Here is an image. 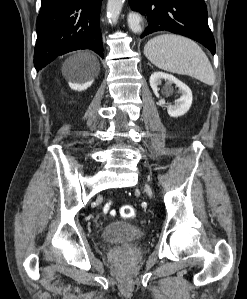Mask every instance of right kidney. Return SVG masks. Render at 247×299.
I'll use <instances>...</instances> for the list:
<instances>
[{
  "instance_id": "obj_1",
  "label": "right kidney",
  "mask_w": 247,
  "mask_h": 299,
  "mask_svg": "<svg viewBox=\"0 0 247 299\" xmlns=\"http://www.w3.org/2000/svg\"><path fill=\"white\" fill-rule=\"evenodd\" d=\"M92 83H93V81H89V82L82 83V84H70V87L77 91H83V90H86L88 87H90Z\"/></svg>"
}]
</instances>
